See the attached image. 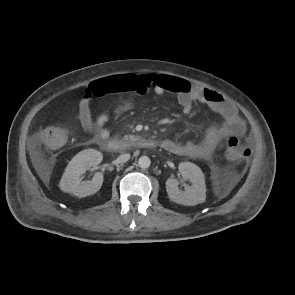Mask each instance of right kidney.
Returning <instances> with one entry per match:
<instances>
[{
	"label": "right kidney",
	"mask_w": 295,
	"mask_h": 295,
	"mask_svg": "<svg viewBox=\"0 0 295 295\" xmlns=\"http://www.w3.org/2000/svg\"><path fill=\"white\" fill-rule=\"evenodd\" d=\"M103 155L95 149L79 152L68 164L60 181V189L77 197H86L100 190L103 174L95 173L91 181H82L81 175L91 167L101 163Z\"/></svg>",
	"instance_id": "1"
}]
</instances>
